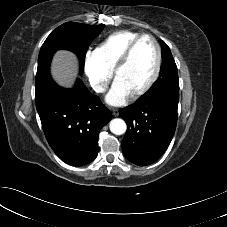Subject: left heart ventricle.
I'll return each mask as SVG.
<instances>
[{"instance_id": "obj_1", "label": "left heart ventricle", "mask_w": 227, "mask_h": 227, "mask_svg": "<svg viewBox=\"0 0 227 227\" xmlns=\"http://www.w3.org/2000/svg\"><path fill=\"white\" fill-rule=\"evenodd\" d=\"M157 62L154 44L149 39L142 40L128 62L118 73L116 82L128 95L141 89L152 77Z\"/></svg>"}]
</instances>
